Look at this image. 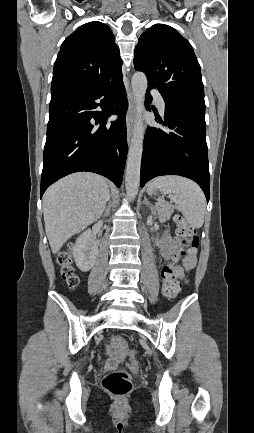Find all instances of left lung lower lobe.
I'll list each match as a JSON object with an SVG mask.
<instances>
[{"label": "left lung lower lobe", "mask_w": 254, "mask_h": 433, "mask_svg": "<svg viewBox=\"0 0 254 433\" xmlns=\"http://www.w3.org/2000/svg\"><path fill=\"white\" fill-rule=\"evenodd\" d=\"M148 86L146 107L152 97ZM163 128L148 127L143 144L140 185L156 176L180 175L194 180L209 201L210 175L205 109L192 103L165 102Z\"/></svg>", "instance_id": "obj_1"}]
</instances>
